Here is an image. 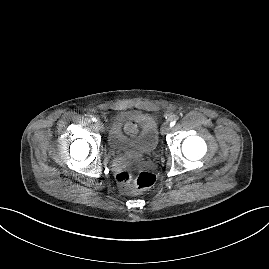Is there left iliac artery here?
I'll return each instance as SVG.
<instances>
[{
    "mask_svg": "<svg viewBox=\"0 0 269 269\" xmlns=\"http://www.w3.org/2000/svg\"><path fill=\"white\" fill-rule=\"evenodd\" d=\"M176 124V120L170 122V127H173Z\"/></svg>",
    "mask_w": 269,
    "mask_h": 269,
    "instance_id": "1",
    "label": "left iliac artery"
}]
</instances>
